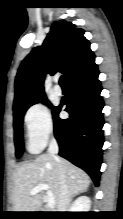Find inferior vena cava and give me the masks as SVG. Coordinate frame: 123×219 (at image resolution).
Here are the masks:
<instances>
[{
  "label": "inferior vena cava",
  "mask_w": 123,
  "mask_h": 219,
  "mask_svg": "<svg viewBox=\"0 0 123 219\" xmlns=\"http://www.w3.org/2000/svg\"><path fill=\"white\" fill-rule=\"evenodd\" d=\"M58 152H59L58 143L55 138H52L49 144L48 153L52 155L57 161H59V158L57 157ZM59 171H60V195L58 200L57 211L67 212L70 206L71 194L66 184V176L62 169L61 164H59Z\"/></svg>",
  "instance_id": "1"
}]
</instances>
